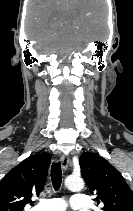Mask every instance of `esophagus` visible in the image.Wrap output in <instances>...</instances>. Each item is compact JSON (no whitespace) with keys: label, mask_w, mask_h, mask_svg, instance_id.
<instances>
[{"label":"esophagus","mask_w":133,"mask_h":211,"mask_svg":"<svg viewBox=\"0 0 133 211\" xmlns=\"http://www.w3.org/2000/svg\"><path fill=\"white\" fill-rule=\"evenodd\" d=\"M60 161H61L62 168L66 170L69 164V158L65 155H62Z\"/></svg>","instance_id":"obj_1"}]
</instances>
